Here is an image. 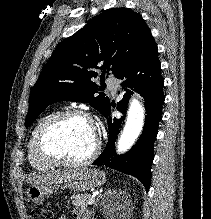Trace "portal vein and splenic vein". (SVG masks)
<instances>
[{"label":"portal vein and splenic vein","mask_w":211,"mask_h":219,"mask_svg":"<svg viewBox=\"0 0 211 219\" xmlns=\"http://www.w3.org/2000/svg\"><path fill=\"white\" fill-rule=\"evenodd\" d=\"M95 202V196H91L88 204H93Z\"/></svg>","instance_id":"18ae733b"}]
</instances>
